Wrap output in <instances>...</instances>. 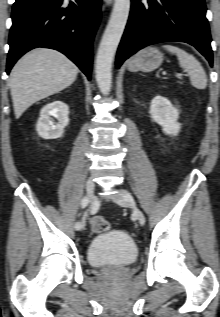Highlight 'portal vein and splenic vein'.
Returning a JSON list of instances; mask_svg holds the SVG:
<instances>
[{
	"label": "portal vein and splenic vein",
	"instance_id": "18ae733b",
	"mask_svg": "<svg viewBox=\"0 0 220 317\" xmlns=\"http://www.w3.org/2000/svg\"><path fill=\"white\" fill-rule=\"evenodd\" d=\"M182 76H183V74H180V73H177V74H176V77L179 78V79H181Z\"/></svg>",
	"mask_w": 220,
	"mask_h": 317
}]
</instances>
